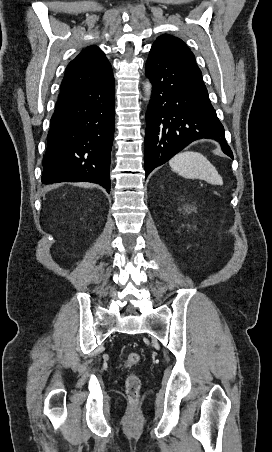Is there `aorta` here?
<instances>
[{
  "label": "aorta",
  "mask_w": 272,
  "mask_h": 452,
  "mask_svg": "<svg viewBox=\"0 0 272 452\" xmlns=\"http://www.w3.org/2000/svg\"><path fill=\"white\" fill-rule=\"evenodd\" d=\"M144 93H145V99H146L147 101H149L150 98H151V94H152V84L150 83L149 80H147V81L144 83Z\"/></svg>",
  "instance_id": "1"
}]
</instances>
